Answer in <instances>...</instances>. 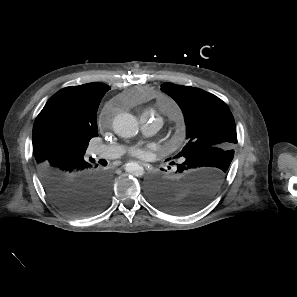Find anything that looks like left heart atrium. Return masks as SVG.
<instances>
[{"mask_svg":"<svg viewBox=\"0 0 297 297\" xmlns=\"http://www.w3.org/2000/svg\"><path fill=\"white\" fill-rule=\"evenodd\" d=\"M149 146L135 145L130 148V154L138 158L149 156Z\"/></svg>","mask_w":297,"mask_h":297,"instance_id":"1","label":"left heart atrium"}]
</instances>
